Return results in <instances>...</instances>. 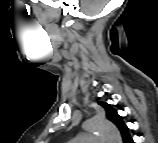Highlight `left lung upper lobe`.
Instances as JSON below:
<instances>
[{
    "label": "left lung upper lobe",
    "mask_w": 158,
    "mask_h": 143,
    "mask_svg": "<svg viewBox=\"0 0 158 143\" xmlns=\"http://www.w3.org/2000/svg\"><path fill=\"white\" fill-rule=\"evenodd\" d=\"M99 105H101L104 108L107 119L117 126L122 135V138L129 135L126 124L123 122L121 116L118 115L116 110L110 104L105 102H99Z\"/></svg>",
    "instance_id": "5c2ea615"
}]
</instances>
